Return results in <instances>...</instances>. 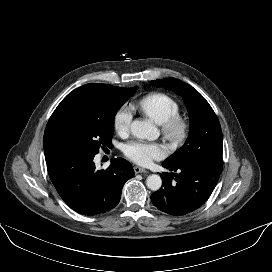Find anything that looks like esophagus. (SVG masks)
<instances>
[{"mask_svg": "<svg viewBox=\"0 0 272 272\" xmlns=\"http://www.w3.org/2000/svg\"><path fill=\"white\" fill-rule=\"evenodd\" d=\"M134 172H135L136 174H138V173H147V170L144 169V168H141V167H139V166H135V167H134Z\"/></svg>", "mask_w": 272, "mask_h": 272, "instance_id": "esophagus-1", "label": "esophagus"}]
</instances>
